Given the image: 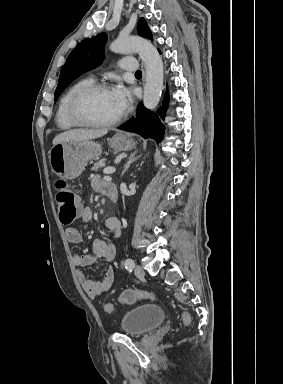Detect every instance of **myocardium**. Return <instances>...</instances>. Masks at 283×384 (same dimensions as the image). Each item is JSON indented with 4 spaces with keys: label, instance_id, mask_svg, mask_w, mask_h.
<instances>
[{
    "label": "myocardium",
    "instance_id": "obj_1",
    "mask_svg": "<svg viewBox=\"0 0 283 384\" xmlns=\"http://www.w3.org/2000/svg\"><path fill=\"white\" fill-rule=\"evenodd\" d=\"M106 89H110V87L105 83H91L84 86L75 93L68 106V117L73 125L86 129H107L115 126L121 121L123 117L122 113H120L116 118L107 122H89L80 117L79 107L82 101L91 94Z\"/></svg>",
    "mask_w": 283,
    "mask_h": 384
}]
</instances>
